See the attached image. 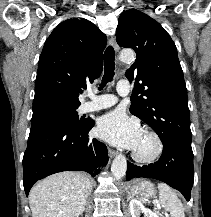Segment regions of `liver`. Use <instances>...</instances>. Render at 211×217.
<instances>
[{"instance_id": "obj_1", "label": "liver", "mask_w": 211, "mask_h": 217, "mask_svg": "<svg viewBox=\"0 0 211 217\" xmlns=\"http://www.w3.org/2000/svg\"><path fill=\"white\" fill-rule=\"evenodd\" d=\"M92 189L80 172H61L36 184L29 193L32 217H79Z\"/></svg>"}]
</instances>
